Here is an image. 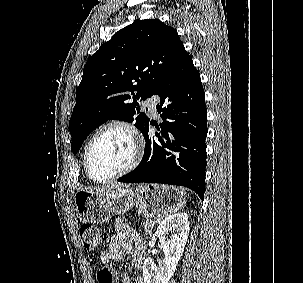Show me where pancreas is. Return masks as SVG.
<instances>
[{
  "instance_id": "cf45deb5",
  "label": "pancreas",
  "mask_w": 303,
  "mask_h": 283,
  "mask_svg": "<svg viewBox=\"0 0 303 283\" xmlns=\"http://www.w3.org/2000/svg\"><path fill=\"white\" fill-rule=\"evenodd\" d=\"M155 221L152 219H147L141 223L142 228L144 229L146 234H152L154 229Z\"/></svg>"
}]
</instances>
